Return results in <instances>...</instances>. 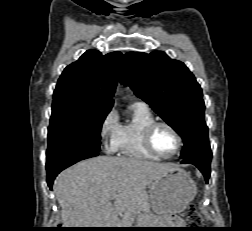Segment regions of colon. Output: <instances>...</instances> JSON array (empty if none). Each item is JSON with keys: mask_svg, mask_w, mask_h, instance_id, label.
I'll list each match as a JSON object with an SVG mask.
<instances>
[{"mask_svg": "<svg viewBox=\"0 0 252 231\" xmlns=\"http://www.w3.org/2000/svg\"><path fill=\"white\" fill-rule=\"evenodd\" d=\"M187 223L192 227H198L202 225L203 218L202 216L196 211V209L191 206L186 215Z\"/></svg>", "mask_w": 252, "mask_h": 231, "instance_id": "5ec220e1", "label": "colon"}]
</instances>
